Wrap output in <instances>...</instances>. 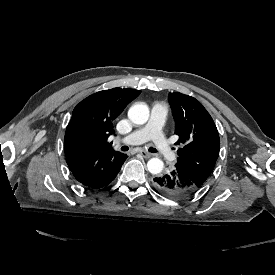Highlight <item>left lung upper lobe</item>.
<instances>
[{
	"mask_svg": "<svg viewBox=\"0 0 275 275\" xmlns=\"http://www.w3.org/2000/svg\"><path fill=\"white\" fill-rule=\"evenodd\" d=\"M168 100L179 136L176 166L200 187L214 169L220 139L207 110L194 97L174 92Z\"/></svg>",
	"mask_w": 275,
	"mask_h": 275,
	"instance_id": "5c2ea615",
	"label": "left lung upper lobe"
}]
</instances>
